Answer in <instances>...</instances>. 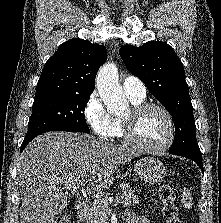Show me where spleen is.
<instances>
[{"mask_svg":"<svg viewBox=\"0 0 221 223\" xmlns=\"http://www.w3.org/2000/svg\"><path fill=\"white\" fill-rule=\"evenodd\" d=\"M182 204L187 209H190L192 207V197L190 194V190L185 187L182 191Z\"/></svg>","mask_w":221,"mask_h":223,"instance_id":"spleen-1","label":"spleen"}]
</instances>
